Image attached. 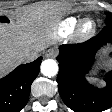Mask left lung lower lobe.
<instances>
[{"label":"left lung lower lobe","instance_id":"0a47b994","mask_svg":"<svg viewBox=\"0 0 112 112\" xmlns=\"http://www.w3.org/2000/svg\"><path fill=\"white\" fill-rule=\"evenodd\" d=\"M108 42L112 43V25L86 42L60 47L58 90L64 103L75 112H101L112 107V71L105 75L106 87L102 89L85 77L97 51Z\"/></svg>","mask_w":112,"mask_h":112}]
</instances>
